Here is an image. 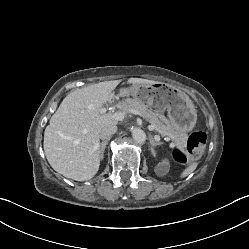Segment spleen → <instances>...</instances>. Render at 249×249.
I'll return each instance as SVG.
<instances>
[{"instance_id": "1", "label": "spleen", "mask_w": 249, "mask_h": 249, "mask_svg": "<svg viewBox=\"0 0 249 249\" xmlns=\"http://www.w3.org/2000/svg\"><path fill=\"white\" fill-rule=\"evenodd\" d=\"M197 163L194 162L192 164H190L181 174V177H186L189 174H191L196 168H197Z\"/></svg>"}]
</instances>
